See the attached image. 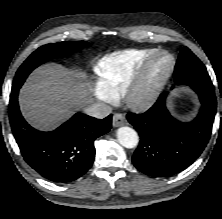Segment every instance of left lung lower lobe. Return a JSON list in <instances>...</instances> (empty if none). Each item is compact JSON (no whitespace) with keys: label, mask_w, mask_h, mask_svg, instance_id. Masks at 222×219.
<instances>
[{"label":"left lung lower lobe","mask_w":222,"mask_h":219,"mask_svg":"<svg viewBox=\"0 0 222 219\" xmlns=\"http://www.w3.org/2000/svg\"><path fill=\"white\" fill-rule=\"evenodd\" d=\"M189 86L202 104L192 122L182 123L170 115L165 106L167 93H162L145 113L127 115L141 138L132 162L144 174L153 177L174 175L191 165L208 143L217 105L214 88Z\"/></svg>","instance_id":"0a47b994"}]
</instances>
